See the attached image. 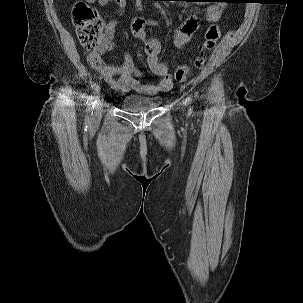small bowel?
<instances>
[{
    "mask_svg": "<svg viewBox=\"0 0 303 303\" xmlns=\"http://www.w3.org/2000/svg\"><path fill=\"white\" fill-rule=\"evenodd\" d=\"M90 3H96L103 7L109 3H113L119 12L126 7L127 0H88ZM222 2V1H215ZM137 8H141V4H137ZM225 5L222 3H214L210 5L205 13V20L209 22L217 21L222 15ZM157 27L158 24L154 20H146L142 17H134L131 21L132 34L144 43L147 55V64L153 75L160 77V81L156 84L152 81L141 83L137 78L142 77V73L136 68L131 55L122 51L123 64L121 66H111L104 62L102 56L108 50L114 48L111 37L117 27L116 21H111L106 27V35L104 40L93 50L87 52V61L89 66L97 72L103 80L113 89L127 93L136 91L145 94H154L159 91H166L172 87V76L168 71L167 63L160 58L161 45L154 38H148L145 33V26ZM199 28V20L195 15L189 16L179 28L174 36V45L182 48L187 45L193 38Z\"/></svg>",
    "mask_w": 303,
    "mask_h": 303,
    "instance_id": "small-bowel-1",
    "label": "small bowel"
}]
</instances>
